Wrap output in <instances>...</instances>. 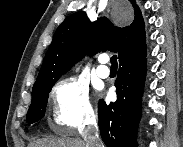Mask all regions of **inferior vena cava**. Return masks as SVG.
Instances as JSON below:
<instances>
[{
  "mask_svg": "<svg viewBox=\"0 0 183 147\" xmlns=\"http://www.w3.org/2000/svg\"><path fill=\"white\" fill-rule=\"evenodd\" d=\"M84 141L86 142V147H101L102 142L98 136V127L96 122H92L90 126L83 133Z\"/></svg>",
  "mask_w": 183,
  "mask_h": 147,
  "instance_id": "inferior-vena-cava-1",
  "label": "inferior vena cava"
}]
</instances>
